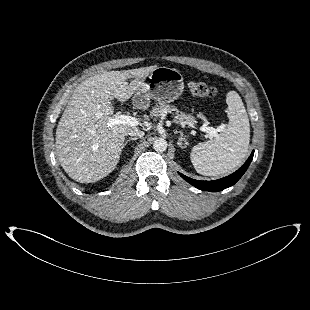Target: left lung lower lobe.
Returning a JSON list of instances; mask_svg holds the SVG:
<instances>
[{
    "mask_svg": "<svg viewBox=\"0 0 310 310\" xmlns=\"http://www.w3.org/2000/svg\"><path fill=\"white\" fill-rule=\"evenodd\" d=\"M253 155H254V151L251 153L250 157L247 159V161L244 163V165L240 169H238L233 174L225 178L219 179V180L199 181V180L191 179L181 173H179V175L182 178H184L187 182H189L191 185H193L194 187L200 190L211 191V192L221 191L234 185L242 177V175L245 173L248 166L250 165Z\"/></svg>",
    "mask_w": 310,
    "mask_h": 310,
    "instance_id": "1",
    "label": "left lung lower lobe"
}]
</instances>
